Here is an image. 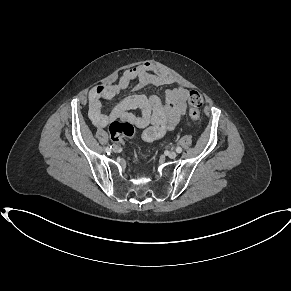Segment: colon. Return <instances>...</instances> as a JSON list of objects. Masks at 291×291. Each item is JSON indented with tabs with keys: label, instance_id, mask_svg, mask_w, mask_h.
Masks as SVG:
<instances>
[{
	"label": "colon",
	"instance_id": "1",
	"mask_svg": "<svg viewBox=\"0 0 291 291\" xmlns=\"http://www.w3.org/2000/svg\"><path fill=\"white\" fill-rule=\"evenodd\" d=\"M189 116L196 120L200 117V108L203 104V97L197 91H191L188 94ZM110 135L113 140L121 141L124 137H133L135 129L132 123L128 121L115 120L110 125Z\"/></svg>",
	"mask_w": 291,
	"mask_h": 291
}]
</instances>
